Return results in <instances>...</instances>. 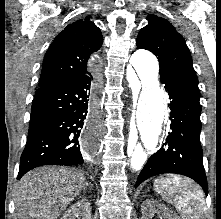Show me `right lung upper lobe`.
<instances>
[{"label":"right lung upper lobe","mask_w":221,"mask_h":219,"mask_svg":"<svg viewBox=\"0 0 221 219\" xmlns=\"http://www.w3.org/2000/svg\"><path fill=\"white\" fill-rule=\"evenodd\" d=\"M103 43L99 28L86 17L69 24L47 50L39 87L64 82L89 73L90 57Z\"/></svg>","instance_id":"1"}]
</instances>
